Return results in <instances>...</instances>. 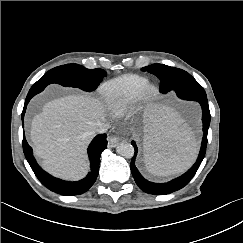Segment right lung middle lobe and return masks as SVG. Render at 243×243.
<instances>
[{"mask_svg": "<svg viewBox=\"0 0 243 243\" xmlns=\"http://www.w3.org/2000/svg\"><path fill=\"white\" fill-rule=\"evenodd\" d=\"M106 72L102 69H87L78 64L55 67L44 74L33 86H47L57 83L62 86L78 87L84 91H94Z\"/></svg>", "mask_w": 243, "mask_h": 243, "instance_id": "obj_1", "label": "right lung middle lobe"}]
</instances>
